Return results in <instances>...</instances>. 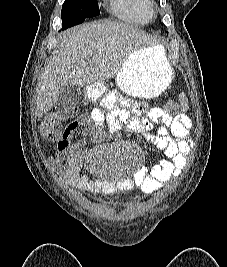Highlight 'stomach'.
I'll return each mask as SVG.
<instances>
[{"instance_id": "1", "label": "stomach", "mask_w": 227, "mask_h": 267, "mask_svg": "<svg viewBox=\"0 0 227 267\" xmlns=\"http://www.w3.org/2000/svg\"><path fill=\"white\" fill-rule=\"evenodd\" d=\"M172 68L159 46L134 51L117 73L121 91L137 98H152L161 94L172 80ZM105 91V85H89L87 97L95 100Z\"/></svg>"}]
</instances>
